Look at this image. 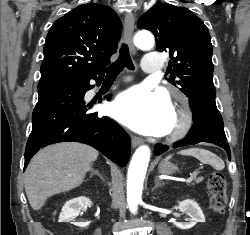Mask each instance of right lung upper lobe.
Returning <instances> with one entry per match:
<instances>
[{
    "instance_id": "right-lung-upper-lobe-1",
    "label": "right lung upper lobe",
    "mask_w": 250,
    "mask_h": 235,
    "mask_svg": "<svg viewBox=\"0 0 250 235\" xmlns=\"http://www.w3.org/2000/svg\"><path fill=\"white\" fill-rule=\"evenodd\" d=\"M121 29L117 14L97 3L79 5L56 20L46 38L38 90L104 75Z\"/></svg>"
}]
</instances>
